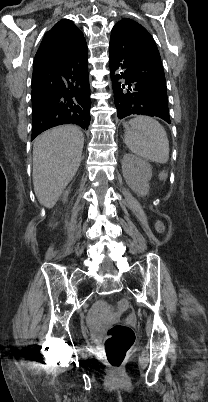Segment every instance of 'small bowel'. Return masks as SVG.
Instances as JSON below:
<instances>
[{"mask_svg":"<svg viewBox=\"0 0 208 402\" xmlns=\"http://www.w3.org/2000/svg\"><path fill=\"white\" fill-rule=\"evenodd\" d=\"M97 308L101 311L95 312L94 309H87L85 312V315L89 321L87 324L89 330H100L101 327H103V324L108 323L109 317L113 315V312L107 309V305L105 303L98 304ZM97 315H100L99 318Z\"/></svg>","mask_w":208,"mask_h":402,"instance_id":"small-bowel-1","label":"small bowel"}]
</instances>
